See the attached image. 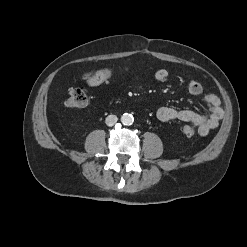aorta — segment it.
Returning a JSON list of instances; mask_svg holds the SVG:
<instances>
[{"label": "aorta", "mask_w": 247, "mask_h": 247, "mask_svg": "<svg viewBox=\"0 0 247 247\" xmlns=\"http://www.w3.org/2000/svg\"><path fill=\"white\" fill-rule=\"evenodd\" d=\"M121 122L124 125H131L134 122V117L132 114L124 113L121 116Z\"/></svg>", "instance_id": "aorta-1"}]
</instances>
